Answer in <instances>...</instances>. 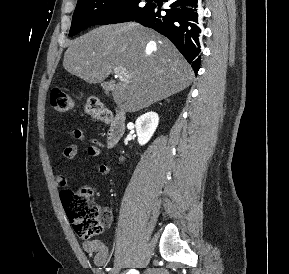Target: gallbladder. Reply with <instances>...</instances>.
<instances>
[{
	"mask_svg": "<svg viewBox=\"0 0 289 274\" xmlns=\"http://www.w3.org/2000/svg\"><path fill=\"white\" fill-rule=\"evenodd\" d=\"M101 85H102V87L105 88V89H107V88L110 87V85H109L108 82H103Z\"/></svg>",
	"mask_w": 289,
	"mask_h": 274,
	"instance_id": "obj_1",
	"label": "gallbladder"
}]
</instances>
